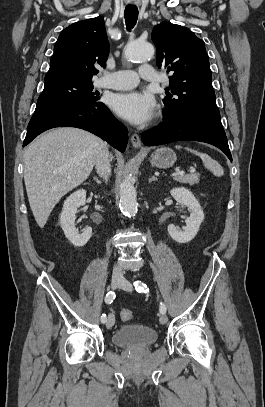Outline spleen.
I'll use <instances>...</instances> for the list:
<instances>
[{
	"mask_svg": "<svg viewBox=\"0 0 265 407\" xmlns=\"http://www.w3.org/2000/svg\"><path fill=\"white\" fill-rule=\"evenodd\" d=\"M176 148H181L180 146H176ZM187 151H190L191 153H194L195 155H198L204 164V166L210 170L215 176L220 177L224 174V170L221 167V165L212 159L208 154L206 153H201L196 150H192L189 148H186Z\"/></svg>",
	"mask_w": 265,
	"mask_h": 407,
	"instance_id": "spleen-1",
	"label": "spleen"
}]
</instances>
